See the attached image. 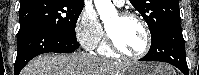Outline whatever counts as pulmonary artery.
Here are the masks:
<instances>
[{
	"label": "pulmonary artery",
	"instance_id": "e3ab8cb5",
	"mask_svg": "<svg viewBox=\"0 0 199 75\" xmlns=\"http://www.w3.org/2000/svg\"><path fill=\"white\" fill-rule=\"evenodd\" d=\"M117 6H122L123 5V3H124V1H122V0H115V1H113Z\"/></svg>",
	"mask_w": 199,
	"mask_h": 75
}]
</instances>
